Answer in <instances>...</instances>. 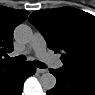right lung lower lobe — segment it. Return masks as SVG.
I'll return each mask as SVG.
<instances>
[{"label": "right lung lower lobe", "mask_w": 95, "mask_h": 95, "mask_svg": "<svg viewBox=\"0 0 95 95\" xmlns=\"http://www.w3.org/2000/svg\"><path fill=\"white\" fill-rule=\"evenodd\" d=\"M36 72V67L32 62H25L0 83V95H21L24 81Z\"/></svg>", "instance_id": "obj_1"}]
</instances>
